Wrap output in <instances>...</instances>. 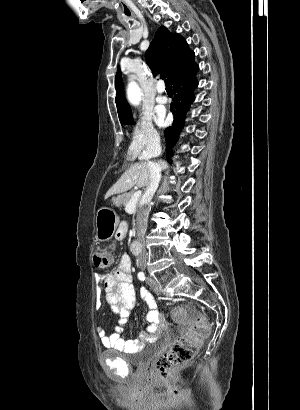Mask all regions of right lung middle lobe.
<instances>
[{
	"label": "right lung middle lobe",
	"instance_id": "dd1d6c3e",
	"mask_svg": "<svg viewBox=\"0 0 300 410\" xmlns=\"http://www.w3.org/2000/svg\"><path fill=\"white\" fill-rule=\"evenodd\" d=\"M122 124H134L133 118L121 122Z\"/></svg>",
	"mask_w": 300,
	"mask_h": 410
}]
</instances>
